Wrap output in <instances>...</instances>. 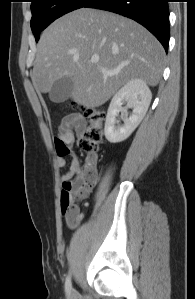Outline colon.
I'll return each instance as SVG.
<instances>
[{
	"label": "colon",
	"mask_w": 195,
	"mask_h": 299,
	"mask_svg": "<svg viewBox=\"0 0 195 299\" xmlns=\"http://www.w3.org/2000/svg\"><path fill=\"white\" fill-rule=\"evenodd\" d=\"M85 115L88 125L79 139L78 145L86 157L80 166L79 177L75 181L67 183L68 190H65L61 196L63 215L72 218L80 213V202L86 197L95 180L96 153L102 143L106 112L102 107H93L85 109Z\"/></svg>",
	"instance_id": "obj_1"
}]
</instances>
